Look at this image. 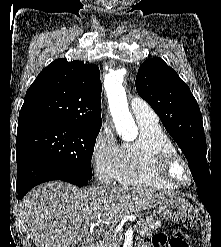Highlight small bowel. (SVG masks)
<instances>
[{
	"instance_id": "1",
	"label": "small bowel",
	"mask_w": 221,
	"mask_h": 247,
	"mask_svg": "<svg viewBox=\"0 0 221 247\" xmlns=\"http://www.w3.org/2000/svg\"><path fill=\"white\" fill-rule=\"evenodd\" d=\"M138 247H155L152 242H145L140 244Z\"/></svg>"
}]
</instances>
